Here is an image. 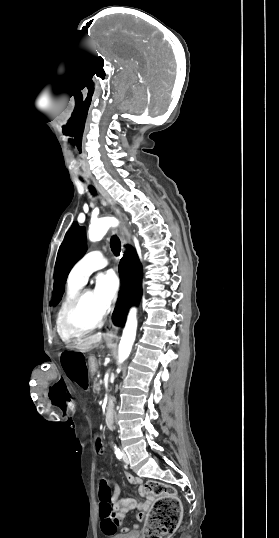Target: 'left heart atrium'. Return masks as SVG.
I'll list each match as a JSON object with an SVG mask.
<instances>
[{
  "label": "left heart atrium",
  "instance_id": "39dd6f15",
  "mask_svg": "<svg viewBox=\"0 0 279 538\" xmlns=\"http://www.w3.org/2000/svg\"><path fill=\"white\" fill-rule=\"evenodd\" d=\"M119 289V278L114 270H107L96 277L95 293L104 311L109 310Z\"/></svg>",
  "mask_w": 279,
  "mask_h": 538
}]
</instances>
